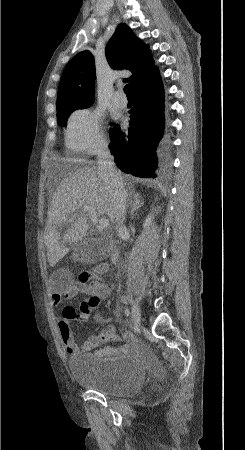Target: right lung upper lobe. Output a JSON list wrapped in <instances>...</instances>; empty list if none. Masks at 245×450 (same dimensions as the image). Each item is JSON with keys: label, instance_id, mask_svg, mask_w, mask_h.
Returning <instances> with one entry per match:
<instances>
[{"label": "right lung upper lobe", "instance_id": "right-lung-upper-lobe-1", "mask_svg": "<svg viewBox=\"0 0 245 450\" xmlns=\"http://www.w3.org/2000/svg\"><path fill=\"white\" fill-rule=\"evenodd\" d=\"M106 57L113 69H127L132 76L125 81L131 83V89L153 71L156 66L149 46L145 45L124 23L119 24L110 39ZM95 63L88 51L75 55L63 71L57 105L65 103L92 104L94 102Z\"/></svg>", "mask_w": 245, "mask_h": 450}]
</instances>
